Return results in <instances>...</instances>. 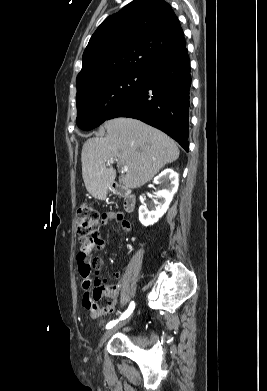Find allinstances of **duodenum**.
Masks as SVG:
<instances>
[{
    "instance_id": "1",
    "label": "duodenum",
    "mask_w": 267,
    "mask_h": 391,
    "mask_svg": "<svg viewBox=\"0 0 267 391\" xmlns=\"http://www.w3.org/2000/svg\"><path fill=\"white\" fill-rule=\"evenodd\" d=\"M111 191L114 195L120 196L124 199L123 206L127 212L133 211L136 203L135 196L131 191L122 184L114 181L111 184Z\"/></svg>"
}]
</instances>
